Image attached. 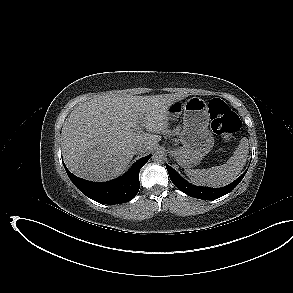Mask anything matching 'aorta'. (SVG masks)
I'll use <instances>...</instances> for the list:
<instances>
[{"instance_id": "obj_1", "label": "aorta", "mask_w": 293, "mask_h": 293, "mask_svg": "<svg viewBox=\"0 0 293 293\" xmlns=\"http://www.w3.org/2000/svg\"><path fill=\"white\" fill-rule=\"evenodd\" d=\"M166 159V155L164 153V151L162 150H156L153 154H152V160L155 163H163Z\"/></svg>"}]
</instances>
